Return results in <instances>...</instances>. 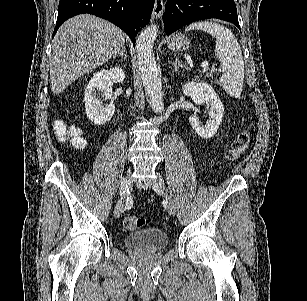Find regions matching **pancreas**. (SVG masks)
Listing matches in <instances>:
<instances>
[{"label": "pancreas", "instance_id": "cf45deb5", "mask_svg": "<svg viewBox=\"0 0 307 301\" xmlns=\"http://www.w3.org/2000/svg\"><path fill=\"white\" fill-rule=\"evenodd\" d=\"M212 72H214V70H210V72H208V70H206L205 74H206V76H211ZM197 78H198V76H197Z\"/></svg>", "mask_w": 307, "mask_h": 301}]
</instances>
